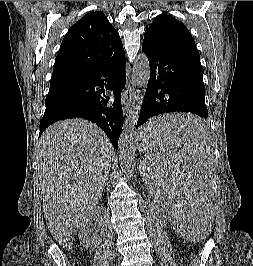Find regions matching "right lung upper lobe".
<instances>
[{
	"label": "right lung upper lobe",
	"instance_id": "cb5924a9",
	"mask_svg": "<svg viewBox=\"0 0 253 266\" xmlns=\"http://www.w3.org/2000/svg\"><path fill=\"white\" fill-rule=\"evenodd\" d=\"M119 34L102 12H91L75 23L64 37L50 86L74 83L124 57Z\"/></svg>",
	"mask_w": 253,
	"mask_h": 266
}]
</instances>
